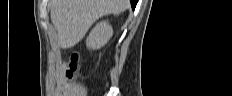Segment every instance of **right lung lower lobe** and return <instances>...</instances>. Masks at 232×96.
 Returning <instances> with one entry per match:
<instances>
[{"label":"right lung lower lobe","mask_w":232,"mask_h":96,"mask_svg":"<svg viewBox=\"0 0 232 96\" xmlns=\"http://www.w3.org/2000/svg\"><path fill=\"white\" fill-rule=\"evenodd\" d=\"M130 2H131L132 9L134 10L138 0H130Z\"/></svg>","instance_id":"1"}]
</instances>
